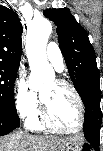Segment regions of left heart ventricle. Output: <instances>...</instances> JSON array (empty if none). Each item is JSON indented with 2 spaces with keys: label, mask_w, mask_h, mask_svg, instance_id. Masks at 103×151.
I'll use <instances>...</instances> for the list:
<instances>
[{
  "label": "left heart ventricle",
  "mask_w": 103,
  "mask_h": 151,
  "mask_svg": "<svg viewBox=\"0 0 103 151\" xmlns=\"http://www.w3.org/2000/svg\"><path fill=\"white\" fill-rule=\"evenodd\" d=\"M45 101L51 120L59 127L75 129L80 122L79 107L75 97L65 87L55 81L45 85L40 91Z\"/></svg>",
  "instance_id": "left-heart-ventricle-1"
}]
</instances>
